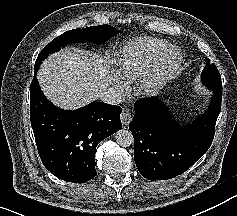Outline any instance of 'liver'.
<instances>
[{"label":"liver","instance_id":"obj_1","mask_svg":"<svg viewBox=\"0 0 237 216\" xmlns=\"http://www.w3.org/2000/svg\"><path fill=\"white\" fill-rule=\"evenodd\" d=\"M123 69H114L108 60L76 47L54 53L43 62L37 79L44 95L65 110H75L99 98Z\"/></svg>","mask_w":237,"mask_h":216}]
</instances>
